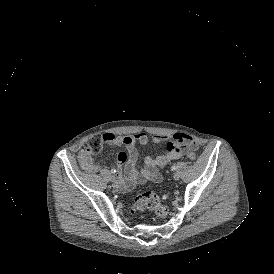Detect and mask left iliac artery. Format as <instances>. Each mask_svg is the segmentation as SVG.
<instances>
[{"label":"left iliac artery","mask_w":274,"mask_h":274,"mask_svg":"<svg viewBox=\"0 0 274 274\" xmlns=\"http://www.w3.org/2000/svg\"><path fill=\"white\" fill-rule=\"evenodd\" d=\"M171 170H172V171H175V170H176V166L173 165V166L171 167Z\"/></svg>","instance_id":"left-iliac-artery-1"}]
</instances>
